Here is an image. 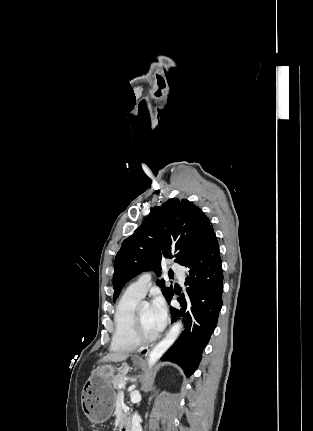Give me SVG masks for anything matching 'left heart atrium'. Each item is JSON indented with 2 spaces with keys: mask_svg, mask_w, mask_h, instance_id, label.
I'll use <instances>...</instances> for the list:
<instances>
[{
  "mask_svg": "<svg viewBox=\"0 0 313 431\" xmlns=\"http://www.w3.org/2000/svg\"><path fill=\"white\" fill-rule=\"evenodd\" d=\"M154 326L157 331H160L167 319V309L163 298L159 295L155 296L150 305Z\"/></svg>",
  "mask_w": 313,
  "mask_h": 431,
  "instance_id": "1",
  "label": "left heart atrium"
}]
</instances>
